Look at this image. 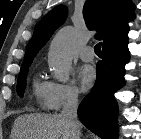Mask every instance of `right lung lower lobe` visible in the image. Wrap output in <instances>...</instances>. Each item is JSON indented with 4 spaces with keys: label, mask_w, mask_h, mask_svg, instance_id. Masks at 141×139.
<instances>
[{
    "label": "right lung lower lobe",
    "mask_w": 141,
    "mask_h": 139,
    "mask_svg": "<svg viewBox=\"0 0 141 139\" xmlns=\"http://www.w3.org/2000/svg\"><path fill=\"white\" fill-rule=\"evenodd\" d=\"M129 57L128 37L103 47L95 85L78 108L80 121L102 139L118 137V106L114 93L124 85V66Z\"/></svg>",
    "instance_id": "right-lung-lower-lobe-1"
}]
</instances>
